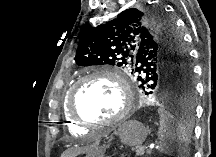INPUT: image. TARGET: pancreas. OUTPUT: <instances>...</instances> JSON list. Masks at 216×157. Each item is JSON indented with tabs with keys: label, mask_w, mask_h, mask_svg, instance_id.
<instances>
[{
	"label": "pancreas",
	"mask_w": 216,
	"mask_h": 157,
	"mask_svg": "<svg viewBox=\"0 0 216 157\" xmlns=\"http://www.w3.org/2000/svg\"><path fill=\"white\" fill-rule=\"evenodd\" d=\"M136 155L139 156V155H142L144 153V148H137L136 150ZM147 153H150V152H147Z\"/></svg>",
	"instance_id": "pancreas-1"
}]
</instances>
